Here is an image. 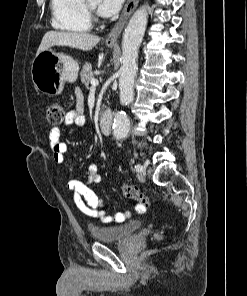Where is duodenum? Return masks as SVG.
<instances>
[{
    "label": "duodenum",
    "mask_w": 247,
    "mask_h": 296,
    "mask_svg": "<svg viewBox=\"0 0 247 296\" xmlns=\"http://www.w3.org/2000/svg\"><path fill=\"white\" fill-rule=\"evenodd\" d=\"M113 116L109 110H105L99 117V127L101 132L109 136L112 133Z\"/></svg>",
    "instance_id": "obj_1"
}]
</instances>
